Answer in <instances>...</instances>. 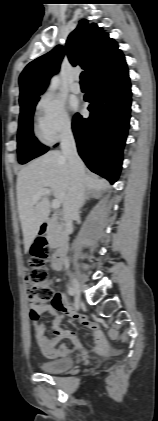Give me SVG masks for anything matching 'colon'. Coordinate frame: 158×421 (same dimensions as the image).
Here are the masks:
<instances>
[{"mask_svg": "<svg viewBox=\"0 0 158 421\" xmlns=\"http://www.w3.org/2000/svg\"><path fill=\"white\" fill-rule=\"evenodd\" d=\"M47 253L48 246L45 239H37L31 249L32 257L29 261V268L25 272L28 300L31 307L47 304L54 297L53 281L44 267ZM30 317L32 321H36L39 314L32 310Z\"/></svg>", "mask_w": 158, "mask_h": 421, "instance_id": "colon-1", "label": "colon"}]
</instances>
